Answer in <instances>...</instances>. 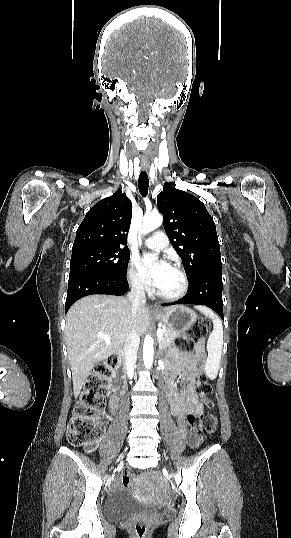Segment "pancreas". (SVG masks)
Listing matches in <instances>:
<instances>
[{
	"label": "pancreas",
	"instance_id": "obj_1",
	"mask_svg": "<svg viewBox=\"0 0 291 538\" xmlns=\"http://www.w3.org/2000/svg\"><path fill=\"white\" fill-rule=\"evenodd\" d=\"M162 331H163V336L160 341L161 348H165L169 346L174 341V339L179 335V333L173 332L167 328H163Z\"/></svg>",
	"mask_w": 291,
	"mask_h": 538
}]
</instances>
